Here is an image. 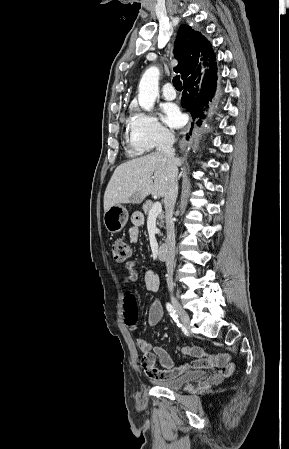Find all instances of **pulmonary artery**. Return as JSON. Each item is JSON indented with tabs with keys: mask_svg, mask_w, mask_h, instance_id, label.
<instances>
[{
	"mask_svg": "<svg viewBox=\"0 0 289 449\" xmlns=\"http://www.w3.org/2000/svg\"><path fill=\"white\" fill-rule=\"evenodd\" d=\"M162 94H163V97H164L166 100H173V99L176 98V91H175V89L173 88V86H172L171 83H166V84L163 86Z\"/></svg>",
	"mask_w": 289,
	"mask_h": 449,
	"instance_id": "e3ab8cb5",
	"label": "pulmonary artery"
}]
</instances>
